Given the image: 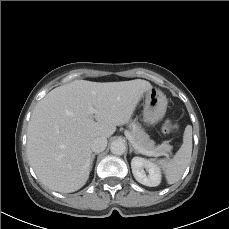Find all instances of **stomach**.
I'll return each instance as SVG.
<instances>
[{"mask_svg": "<svg viewBox=\"0 0 229 229\" xmlns=\"http://www.w3.org/2000/svg\"><path fill=\"white\" fill-rule=\"evenodd\" d=\"M144 97L143 121L146 125L153 126L163 119L167 109V99L163 92L155 87L146 91Z\"/></svg>", "mask_w": 229, "mask_h": 229, "instance_id": "obj_1", "label": "stomach"}]
</instances>
